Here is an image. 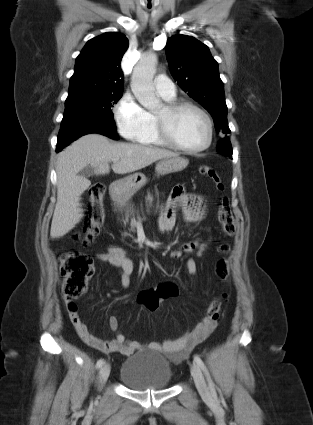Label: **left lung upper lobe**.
Listing matches in <instances>:
<instances>
[{
  "mask_svg": "<svg viewBox=\"0 0 313 425\" xmlns=\"http://www.w3.org/2000/svg\"><path fill=\"white\" fill-rule=\"evenodd\" d=\"M166 55L178 85L211 113L217 132L230 133L224 85L209 48L192 36L178 34L168 39ZM217 149L220 154L232 157L228 138L220 140Z\"/></svg>",
  "mask_w": 313,
  "mask_h": 425,
  "instance_id": "1",
  "label": "left lung upper lobe"
}]
</instances>
